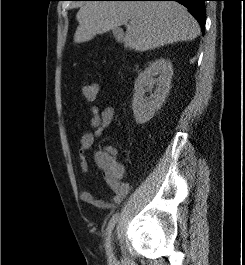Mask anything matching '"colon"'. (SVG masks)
Segmentation results:
<instances>
[{"label": "colon", "instance_id": "5ec220e1", "mask_svg": "<svg viewBox=\"0 0 245 265\" xmlns=\"http://www.w3.org/2000/svg\"><path fill=\"white\" fill-rule=\"evenodd\" d=\"M99 86L97 83L86 84L82 88V95L87 101H94L98 97ZM101 167L103 170L113 174H119L121 171L120 165L109 156L101 157Z\"/></svg>", "mask_w": 245, "mask_h": 265}]
</instances>
